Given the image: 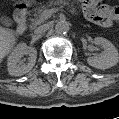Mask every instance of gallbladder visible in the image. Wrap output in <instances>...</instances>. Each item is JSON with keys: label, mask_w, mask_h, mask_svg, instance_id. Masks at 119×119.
<instances>
[{"label": "gallbladder", "mask_w": 119, "mask_h": 119, "mask_svg": "<svg viewBox=\"0 0 119 119\" xmlns=\"http://www.w3.org/2000/svg\"><path fill=\"white\" fill-rule=\"evenodd\" d=\"M3 24H4L5 26H9V21H8V19H5V20L3 21Z\"/></svg>", "instance_id": "obj_1"}]
</instances>
